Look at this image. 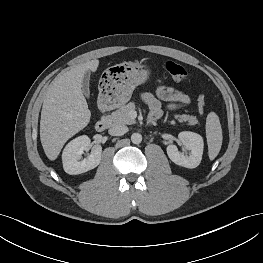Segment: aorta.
Instances as JSON below:
<instances>
[{"label":"aorta","instance_id":"obj_1","mask_svg":"<svg viewBox=\"0 0 263 263\" xmlns=\"http://www.w3.org/2000/svg\"><path fill=\"white\" fill-rule=\"evenodd\" d=\"M131 141L133 144H140L142 141V135L140 133H133L131 135Z\"/></svg>","mask_w":263,"mask_h":263}]
</instances>
